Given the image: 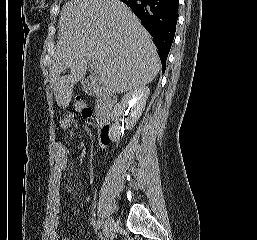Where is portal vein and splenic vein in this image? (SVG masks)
<instances>
[{"mask_svg": "<svg viewBox=\"0 0 257 240\" xmlns=\"http://www.w3.org/2000/svg\"><path fill=\"white\" fill-rule=\"evenodd\" d=\"M91 68L96 74H99V72L101 71V66L98 64L97 61L94 60H92Z\"/></svg>", "mask_w": 257, "mask_h": 240, "instance_id": "portal-vein-and-splenic-vein-1", "label": "portal vein and splenic vein"}]
</instances>
